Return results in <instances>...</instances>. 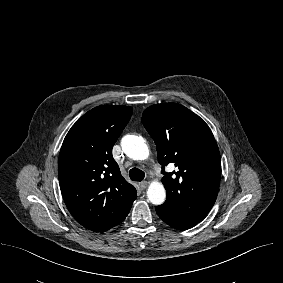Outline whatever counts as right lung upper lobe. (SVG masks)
<instances>
[{"instance_id": "1", "label": "right lung upper lobe", "mask_w": 283, "mask_h": 283, "mask_svg": "<svg viewBox=\"0 0 283 283\" xmlns=\"http://www.w3.org/2000/svg\"><path fill=\"white\" fill-rule=\"evenodd\" d=\"M132 112L129 106L95 107L71 127L62 144L61 193L72 216L89 230L103 232L121 223L137 197L112 156Z\"/></svg>"}]
</instances>
